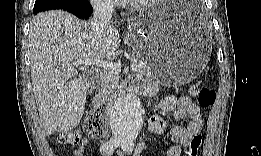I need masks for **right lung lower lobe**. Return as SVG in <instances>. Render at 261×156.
<instances>
[{
	"label": "right lung lower lobe",
	"mask_w": 261,
	"mask_h": 156,
	"mask_svg": "<svg viewBox=\"0 0 261 156\" xmlns=\"http://www.w3.org/2000/svg\"><path fill=\"white\" fill-rule=\"evenodd\" d=\"M56 9L68 11L80 18H86V17L90 16L92 13V10H93V8L90 5V2L88 0H77L71 6L60 7V8H56ZM38 12H40V11H37L34 13L36 14Z\"/></svg>",
	"instance_id": "1"
}]
</instances>
